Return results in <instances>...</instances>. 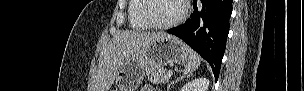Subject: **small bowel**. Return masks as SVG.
Instances as JSON below:
<instances>
[{"mask_svg": "<svg viewBox=\"0 0 304 91\" xmlns=\"http://www.w3.org/2000/svg\"><path fill=\"white\" fill-rule=\"evenodd\" d=\"M142 90H144V91H154V89L150 86H146Z\"/></svg>", "mask_w": 304, "mask_h": 91, "instance_id": "1", "label": "small bowel"}]
</instances>
